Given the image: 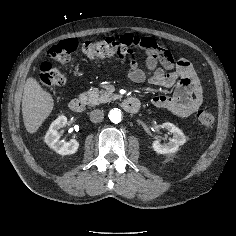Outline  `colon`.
Returning a JSON list of instances; mask_svg holds the SVG:
<instances>
[{"instance_id":"5ec220e1","label":"colon","mask_w":236,"mask_h":236,"mask_svg":"<svg viewBox=\"0 0 236 236\" xmlns=\"http://www.w3.org/2000/svg\"><path fill=\"white\" fill-rule=\"evenodd\" d=\"M78 42L75 39H66L53 45L47 51V58L59 64H65L70 60L71 54L77 49ZM83 54L89 59L109 58L117 56L127 58L132 54V46L123 44L114 38H106L99 41H87L82 45ZM49 60L40 65L39 82L44 88H54L65 83V75ZM197 120L204 128H210L215 122V116L208 109L200 110Z\"/></svg>"}]
</instances>
